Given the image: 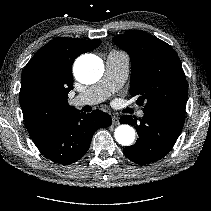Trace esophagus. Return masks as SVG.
I'll return each mask as SVG.
<instances>
[{"label":"esophagus","mask_w":211,"mask_h":211,"mask_svg":"<svg viewBox=\"0 0 211 211\" xmlns=\"http://www.w3.org/2000/svg\"><path fill=\"white\" fill-rule=\"evenodd\" d=\"M112 123L113 125H118L119 124V118L117 116L112 117Z\"/></svg>","instance_id":"obj_1"}]
</instances>
